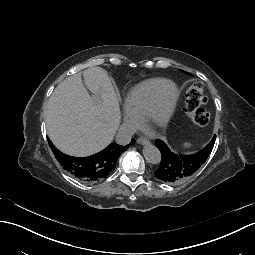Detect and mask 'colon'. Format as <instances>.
Here are the masks:
<instances>
[{"label":"colon","instance_id":"obj_1","mask_svg":"<svg viewBox=\"0 0 255 255\" xmlns=\"http://www.w3.org/2000/svg\"><path fill=\"white\" fill-rule=\"evenodd\" d=\"M206 102L201 83H193L186 91L185 108L192 121L200 126L208 124L210 113L203 107Z\"/></svg>","mask_w":255,"mask_h":255}]
</instances>
